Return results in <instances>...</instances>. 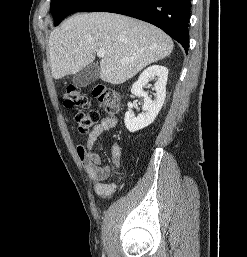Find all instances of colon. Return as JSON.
<instances>
[{"instance_id":"colon-1","label":"colon","mask_w":247,"mask_h":257,"mask_svg":"<svg viewBox=\"0 0 247 257\" xmlns=\"http://www.w3.org/2000/svg\"><path fill=\"white\" fill-rule=\"evenodd\" d=\"M93 96L97 99L101 108L109 115L114 116L120 109L118 93L112 88L98 84L93 87ZM66 108L75 110V121L80 132L90 131L99 119V113L90 108V102L81 89L75 85H69L63 96Z\"/></svg>"}]
</instances>
